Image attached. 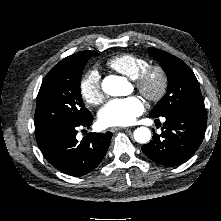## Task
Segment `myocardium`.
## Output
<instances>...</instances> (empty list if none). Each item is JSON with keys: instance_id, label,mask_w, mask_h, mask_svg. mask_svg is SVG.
Returning <instances> with one entry per match:
<instances>
[{"instance_id": "obj_1", "label": "myocardium", "mask_w": 221, "mask_h": 221, "mask_svg": "<svg viewBox=\"0 0 221 221\" xmlns=\"http://www.w3.org/2000/svg\"><path fill=\"white\" fill-rule=\"evenodd\" d=\"M134 82L138 91L150 102L160 101L169 85L167 72L160 65L147 66Z\"/></svg>"}]
</instances>
